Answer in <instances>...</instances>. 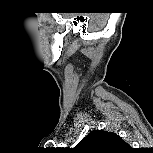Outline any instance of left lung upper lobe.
<instances>
[{
    "instance_id": "5c2ea615",
    "label": "left lung upper lobe",
    "mask_w": 153,
    "mask_h": 153,
    "mask_svg": "<svg viewBox=\"0 0 153 153\" xmlns=\"http://www.w3.org/2000/svg\"><path fill=\"white\" fill-rule=\"evenodd\" d=\"M128 147L117 134L94 130L75 147L81 153H117Z\"/></svg>"
}]
</instances>
